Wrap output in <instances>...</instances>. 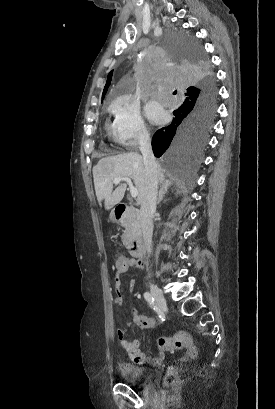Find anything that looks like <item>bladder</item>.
Masks as SVG:
<instances>
[{"label":"bladder","instance_id":"obj_1","mask_svg":"<svg viewBox=\"0 0 275 409\" xmlns=\"http://www.w3.org/2000/svg\"><path fill=\"white\" fill-rule=\"evenodd\" d=\"M121 379L128 385L141 386L143 382H152L153 371L151 368H144L138 363L123 362L119 366Z\"/></svg>","mask_w":275,"mask_h":409}]
</instances>
